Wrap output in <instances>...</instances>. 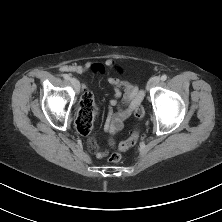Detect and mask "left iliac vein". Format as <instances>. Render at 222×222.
Wrapping results in <instances>:
<instances>
[{
    "label": "left iliac vein",
    "instance_id": "left-iliac-vein-1",
    "mask_svg": "<svg viewBox=\"0 0 222 222\" xmlns=\"http://www.w3.org/2000/svg\"><path fill=\"white\" fill-rule=\"evenodd\" d=\"M159 82H160V78L157 77V76H155V77H153V78H151V79L149 80L148 85H147V88L150 89V88L158 85Z\"/></svg>",
    "mask_w": 222,
    "mask_h": 222
}]
</instances>
